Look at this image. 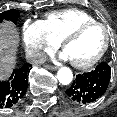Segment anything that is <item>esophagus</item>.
Instances as JSON below:
<instances>
[{
    "mask_svg": "<svg viewBox=\"0 0 117 117\" xmlns=\"http://www.w3.org/2000/svg\"><path fill=\"white\" fill-rule=\"evenodd\" d=\"M48 70L55 71L58 69V66H53V65H46L45 66Z\"/></svg>",
    "mask_w": 117,
    "mask_h": 117,
    "instance_id": "obj_1",
    "label": "esophagus"
}]
</instances>
